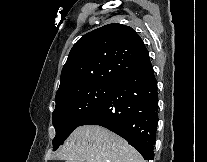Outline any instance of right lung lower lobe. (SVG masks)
<instances>
[{
    "mask_svg": "<svg viewBox=\"0 0 207 162\" xmlns=\"http://www.w3.org/2000/svg\"><path fill=\"white\" fill-rule=\"evenodd\" d=\"M157 82L151 63L125 75L80 124L105 127L153 160L157 127Z\"/></svg>",
    "mask_w": 207,
    "mask_h": 162,
    "instance_id": "1",
    "label": "right lung lower lobe"
}]
</instances>
